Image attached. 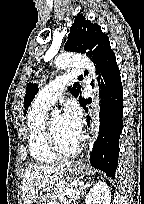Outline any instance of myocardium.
<instances>
[{
  "instance_id": "1",
  "label": "myocardium",
  "mask_w": 144,
  "mask_h": 204,
  "mask_svg": "<svg viewBox=\"0 0 144 204\" xmlns=\"http://www.w3.org/2000/svg\"><path fill=\"white\" fill-rule=\"evenodd\" d=\"M46 135H47V141L48 144L53 151L58 157H70L76 155L80 148V140H77L75 145L71 149H64L61 147V145L58 142L57 136L55 134L53 125H52V120L47 119L46 122Z\"/></svg>"
}]
</instances>
